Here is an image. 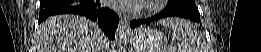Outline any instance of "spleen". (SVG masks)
Returning a JSON list of instances; mask_svg holds the SVG:
<instances>
[{"instance_id": "obj_1", "label": "spleen", "mask_w": 261, "mask_h": 52, "mask_svg": "<svg viewBox=\"0 0 261 52\" xmlns=\"http://www.w3.org/2000/svg\"><path fill=\"white\" fill-rule=\"evenodd\" d=\"M160 24L173 32L175 45L170 48V52H203L200 49L199 31L189 21L171 18L160 21Z\"/></svg>"}]
</instances>
